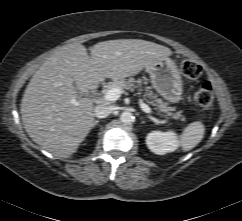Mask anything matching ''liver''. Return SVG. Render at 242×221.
Segmentation results:
<instances>
[{
    "label": "liver",
    "instance_id": "1",
    "mask_svg": "<svg viewBox=\"0 0 242 221\" xmlns=\"http://www.w3.org/2000/svg\"><path fill=\"white\" fill-rule=\"evenodd\" d=\"M62 46L35 72L21 101V117L29 137L61 158L74 154L94 124V105L81 97L105 78L137 75L172 55L162 45L141 39L103 41L90 48Z\"/></svg>",
    "mask_w": 242,
    "mask_h": 221
}]
</instances>
